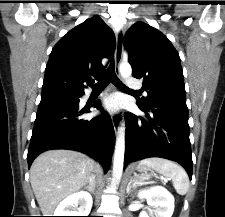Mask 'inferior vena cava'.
<instances>
[{
  "mask_svg": "<svg viewBox=\"0 0 225 217\" xmlns=\"http://www.w3.org/2000/svg\"><path fill=\"white\" fill-rule=\"evenodd\" d=\"M101 171V169H99L98 171H95V173L99 174ZM95 178L96 175L95 174H91L90 178H89V182H94L95 183Z\"/></svg>",
  "mask_w": 225,
  "mask_h": 217,
  "instance_id": "inferior-vena-cava-1",
  "label": "inferior vena cava"
}]
</instances>
